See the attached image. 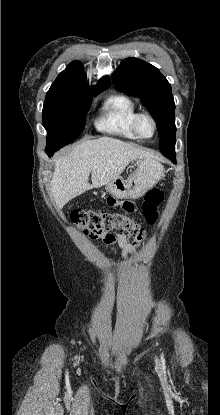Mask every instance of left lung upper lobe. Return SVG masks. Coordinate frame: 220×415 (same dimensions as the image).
Listing matches in <instances>:
<instances>
[{
	"label": "left lung upper lobe",
	"instance_id": "left-lung-upper-lobe-1",
	"mask_svg": "<svg viewBox=\"0 0 220 415\" xmlns=\"http://www.w3.org/2000/svg\"><path fill=\"white\" fill-rule=\"evenodd\" d=\"M115 87L139 97L153 116L163 154L175 153V104L171 85L153 65L137 58H126L112 75Z\"/></svg>",
	"mask_w": 220,
	"mask_h": 415
}]
</instances>
